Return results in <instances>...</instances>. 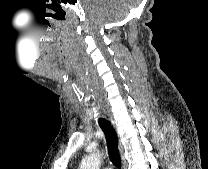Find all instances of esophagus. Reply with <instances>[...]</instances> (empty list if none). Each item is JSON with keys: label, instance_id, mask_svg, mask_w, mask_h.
I'll return each mask as SVG.
<instances>
[{"label": "esophagus", "instance_id": "1", "mask_svg": "<svg viewBox=\"0 0 208 169\" xmlns=\"http://www.w3.org/2000/svg\"><path fill=\"white\" fill-rule=\"evenodd\" d=\"M123 169H126V165L123 163Z\"/></svg>", "mask_w": 208, "mask_h": 169}]
</instances>
